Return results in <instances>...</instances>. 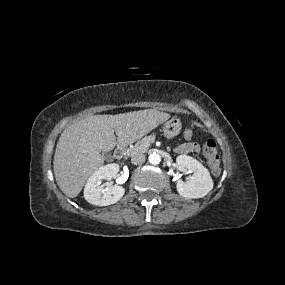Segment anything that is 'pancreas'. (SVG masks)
Wrapping results in <instances>:
<instances>
[{
    "mask_svg": "<svg viewBox=\"0 0 285 285\" xmlns=\"http://www.w3.org/2000/svg\"><path fill=\"white\" fill-rule=\"evenodd\" d=\"M155 138V134H151L149 136L144 137L143 139L138 141L133 147L127 150L128 155L134 156L136 154L145 153L148 150L150 143H152Z\"/></svg>",
    "mask_w": 285,
    "mask_h": 285,
    "instance_id": "1",
    "label": "pancreas"
}]
</instances>
